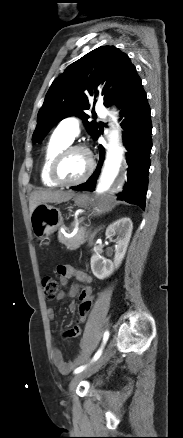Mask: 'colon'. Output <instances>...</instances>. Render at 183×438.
<instances>
[{"instance_id":"obj_1","label":"colon","mask_w":183,"mask_h":438,"mask_svg":"<svg viewBox=\"0 0 183 438\" xmlns=\"http://www.w3.org/2000/svg\"><path fill=\"white\" fill-rule=\"evenodd\" d=\"M43 289L46 300H54L60 291L59 283L52 277L43 279ZM93 305V296L84 295L78 305L79 322L85 323Z\"/></svg>"}]
</instances>
